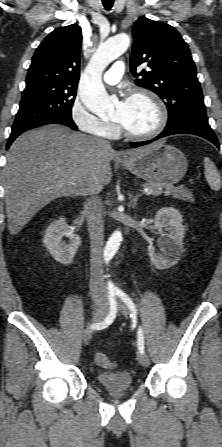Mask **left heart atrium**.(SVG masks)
Returning <instances> with one entry per match:
<instances>
[{
  "instance_id": "left-heart-atrium-1",
  "label": "left heart atrium",
  "mask_w": 222,
  "mask_h": 447,
  "mask_svg": "<svg viewBox=\"0 0 222 447\" xmlns=\"http://www.w3.org/2000/svg\"><path fill=\"white\" fill-rule=\"evenodd\" d=\"M126 103V101H123L122 104L124 105Z\"/></svg>"
}]
</instances>
